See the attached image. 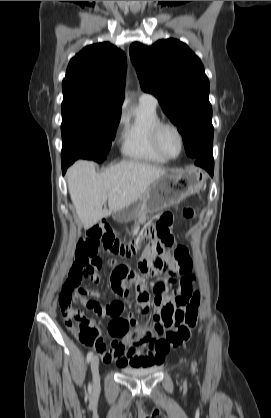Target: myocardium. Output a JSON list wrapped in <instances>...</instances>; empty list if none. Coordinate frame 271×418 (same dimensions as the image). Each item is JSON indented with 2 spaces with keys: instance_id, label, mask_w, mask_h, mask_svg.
I'll return each instance as SVG.
<instances>
[{
  "instance_id": "1",
  "label": "myocardium",
  "mask_w": 271,
  "mask_h": 418,
  "mask_svg": "<svg viewBox=\"0 0 271 418\" xmlns=\"http://www.w3.org/2000/svg\"><path fill=\"white\" fill-rule=\"evenodd\" d=\"M165 129H171L175 132V134L178 137L179 140V152L175 156L168 155L162 148L161 142H160V136L163 130ZM152 143L155 148V150L166 160H174L180 157V155L183 152L184 149V137L179 129V127L171 122H162L160 121L155 125V127L152 130Z\"/></svg>"
}]
</instances>
